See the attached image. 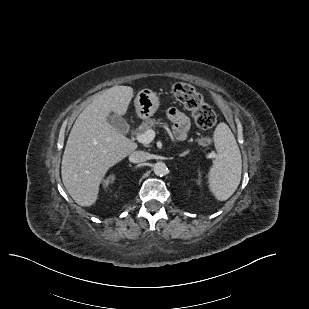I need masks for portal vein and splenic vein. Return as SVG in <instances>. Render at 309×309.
<instances>
[{
    "label": "portal vein and splenic vein",
    "instance_id": "portal-vein-and-splenic-vein-1",
    "mask_svg": "<svg viewBox=\"0 0 309 309\" xmlns=\"http://www.w3.org/2000/svg\"><path fill=\"white\" fill-rule=\"evenodd\" d=\"M155 138V131L152 129H149L145 131L143 134L137 135L136 139L138 142L142 144H149L151 143Z\"/></svg>",
    "mask_w": 309,
    "mask_h": 309
}]
</instances>
